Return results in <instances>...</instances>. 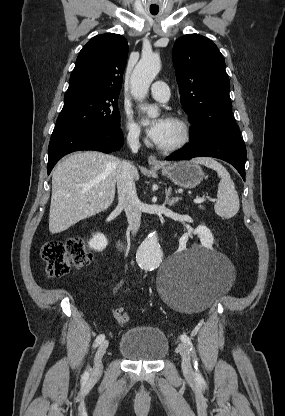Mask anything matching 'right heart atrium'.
<instances>
[{"mask_svg":"<svg viewBox=\"0 0 285 416\" xmlns=\"http://www.w3.org/2000/svg\"><path fill=\"white\" fill-rule=\"evenodd\" d=\"M128 138L131 142L137 143L141 138V130L139 126L131 119L127 122Z\"/></svg>","mask_w":285,"mask_h":416,"instance_id":"right-heart-atrium-1","label":"right heart atrium"}]
</instances>
